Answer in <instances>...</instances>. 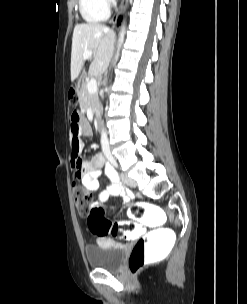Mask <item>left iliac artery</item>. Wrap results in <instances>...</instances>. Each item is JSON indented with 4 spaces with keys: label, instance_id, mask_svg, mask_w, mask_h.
<instances>
[{
    "label": "left iliac artery",
    "instance_id": "obj_1",
    "mask_svg": "<svg viewBox=\"0 0 247 304\" xmlns=\"http://www.w3.org/2000/svg\"><path fill=\"white\" fill-rule=\"evenodd\" d=\"M108 160L110 161V163H111L113 166L118 167L117 162H116V160L114 159V157L110 156V157L108 158Z\"/></svg>",
    "mask_w": 247,
    "mask_h": 304
}]
</instances>
